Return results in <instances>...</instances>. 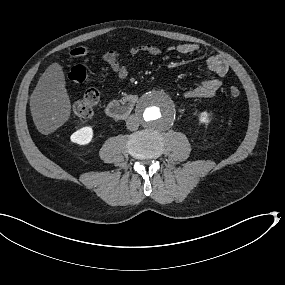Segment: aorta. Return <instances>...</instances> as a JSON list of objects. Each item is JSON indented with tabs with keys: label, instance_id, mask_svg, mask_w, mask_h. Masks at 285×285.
<instances>
[{
	"label": "aorta",
	"instance_id": "762f6f07",
	"mask_svg": "<svg viewBox=\"0 0 285 285\" xmlns=\"http://www.w3.org/2000/svg\"><path fill=\"white\" fill-rule=\"evenodd\" d=\"M137 117L140 123L150 130H163L169 127L176 117V104L173 98L163 91H150L144 94L137 104Z\"/></svg>",
	"mask_w": 285,
	"mask_h": 285
}]
</instances>
